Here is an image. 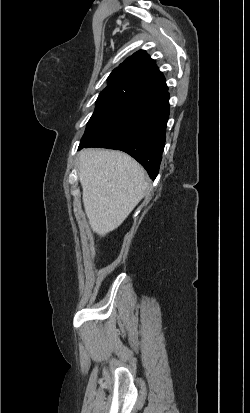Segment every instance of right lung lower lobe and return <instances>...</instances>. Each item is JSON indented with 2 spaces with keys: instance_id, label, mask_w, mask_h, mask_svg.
Returning <instances> with one entry per match:
<instances>
[{
  "instance_id": "obj_1",
  "label": "right lung lower lobe",
  "mask_w": 250,
  "mask_h": 413,
  "mask_svg": "<svg viewBox=\"0 0 250 413\" xmlns=\"http://www.w3.org/2000/svg\"><path fill=\"white\" fill-rule=\"evenodd\" d=\"M169 117L167 91L144 95L131 100L120 116L97 138L84 147L122 150L135 158L155 179L165 145Z\"/></svg>"
}]
</instances>
